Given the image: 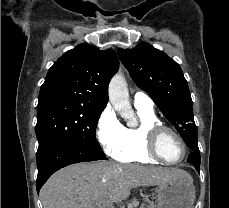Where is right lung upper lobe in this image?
Wrapping results in <instances>:
<instances>
[{"mask_svg": "<svg viewBox=\"0 0 229 208\" xmlns=\"http://www.w3.org/2000/svg\"><path fill=\"white\" fill-rule=\"evenodd\" d=\"M119 61L113 50L80 44L66 52L49 69L41 86L39 103L53 99L71 100L97 112L108 102V84Z\"/></svg>", "mask_w": 229, "mask_h": 208, "instance_id": "right-lung-upper-lobe-1", "label": "right lung upper lobe"}]
</instances>
